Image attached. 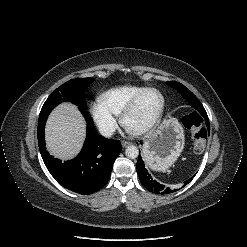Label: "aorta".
<instances>
[{"instance_id": "obj_1", "label": "aorta", "mask_w": 247, "mask_h": 247, "mask_svg": "<svg viewBox=\"0 0 247 247\" xmlns=\"http://www.w3.org/2000/svg\"><path fill=\"white\" fill-rule=\"evenodd\" d=\"M125 155L130 159H135L139 155V150L134 145H129L125 150Z\"/></svg>"}]
</instances>
